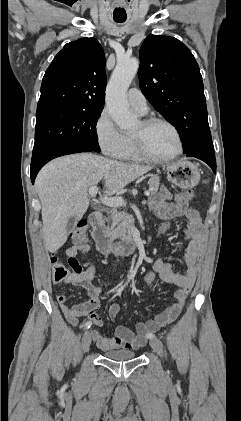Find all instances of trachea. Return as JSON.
Returning a JSON list of instances; mask_svg holds the SVG:
<instances>
[{"label": "trachea", "mask_w": 241, "mask_h": 421, "mask_svg": "<svg viewBox=\"0 0 241 421\" xmlns=\"http://www.w3.org/2000/svg\"><path fill=\"white\" fill-rule=\"evenodd\" d=\"M114 20L115 22H118V23H123L125 21V19H114Z\"/></svg>", "instance_id": "1"}]
</instances>
